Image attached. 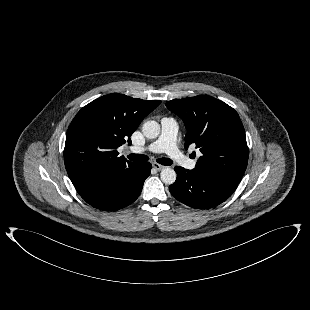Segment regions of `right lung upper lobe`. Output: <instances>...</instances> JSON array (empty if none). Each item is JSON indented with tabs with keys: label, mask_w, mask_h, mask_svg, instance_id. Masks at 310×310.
I'll return each instance as SVG.
<instances>
[{
	"label": "right lung upper lobe",
	"mask_w": 310,
	"mask_h": 310,
	"mask_svg": "<svg viewBox=\"0 0 310 310\" xmlns=\"http://www.w3.org/2000/svg\"><path fill=\"white\" fill-rule=\"evenodd\" d=\"M160 100H142L123 94H108L84 106L72 120L66 135L64 162L74 186L133 162L118 156L126 141Z\"/></svg>",
	"instance_id": "obj_1"
}]
</instances>
